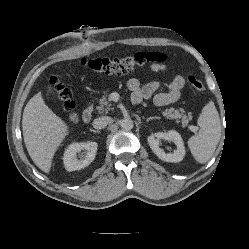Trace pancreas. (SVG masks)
<instances>
[{
  "label": "pancreas",
  "mask_w": 249,
  "mask_h": 249,
  "mask_svg": "<svg viewBox=\"0 0 249 249\" xmlns=\"http://www.w3.org/2000/svg\"><path fill=\"white\" fill-rule=\"evenodd\" d=\"M96 109L98 110L99 113H103V112L107 113L113 109L111 107V104L109 102V98L107 97V95H104L100 99L99 105L96 107ZM163 116H165L166 118L171 119V120H176L177 123H182L183 126L187 125L188 122L192 119L191 113H189L187 115L183 108L166 109L165 111H163Z\"/></svg>",
  "instance_id": "1"
}]
</instances>
